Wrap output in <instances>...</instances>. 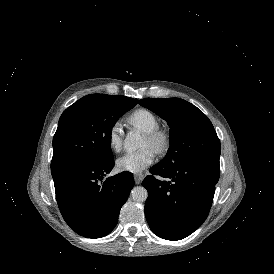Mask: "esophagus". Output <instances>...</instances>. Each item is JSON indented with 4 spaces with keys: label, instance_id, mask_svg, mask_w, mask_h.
<instances>
[{
    "label": "esophagus",
    "instance_id": "esophagus-1",
    "mask_svg": "<svg viewBox=\"0 0 274 274\" xmlns=\"http://www.w3.org/2000/svg\"><path fill=\"white\" fill-rule=\"evenodd\" d=\"M144 179V174H135L134 180L136 184H140L142 180Z\"/></svg>",
    "mask_w": 274,
    "mask_h": 274
}]
</instances>
